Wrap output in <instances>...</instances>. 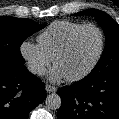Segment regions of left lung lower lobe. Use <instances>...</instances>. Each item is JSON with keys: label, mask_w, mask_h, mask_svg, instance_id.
<instances>
[{"label": "left lung lower lobe", "mask_w": 119, "mask_h": 119, "mask_svg": "<svg viewBox=\"0 0 119 119\" xmlns=\"http://www.w3.org/2000/svg\"><path fill=\"white\" fill-rule=\"evenodd\" d=\"M62 104L57 119H119V69L88 74L58 90Z\"/></svg>", "instance_id": "obj_1"}]
</instances>
